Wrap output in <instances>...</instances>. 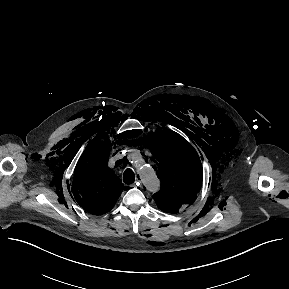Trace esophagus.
Returning a JSON list of instances; mask_svg holds the SVG:
<instances>
[{
  "label": "esophagus",
  "mask_w": 289,
  "mask_h": 289,
  "mask_svg": "<svg viewBox=\"0 0 289 289\" xmlns=\"http://www.w3.org/2000/svg\"><path fill=\"white\" fill-rule=\"evenodd\" d=\"M138 185H140V180L137 178L136 182L134 184H132L131 186L136 187Z\"/></svg>",
  "instance_id": "esophagus-1"
}]
</instances>
